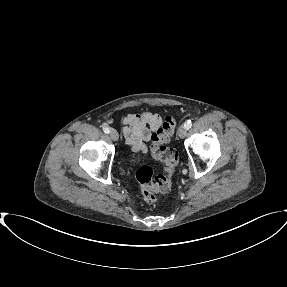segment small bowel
<instances>
[{"instance_id":"c3829d8e","label":"small bowel","mask_w":287,"mask_h":287,"mask_svg":"<svg viewBox=\"0 0 287 287\" xmlns=\"http://www.w3.org/2000/svg\"><path fill=\"white\" fill-rule=\"evenodd\" d=\"M161 124L162 120L157 114L145 112L127 115L123 119V133L127 144L134 152L145 153L146 142Z\"/></svg>"}]
</instances>
